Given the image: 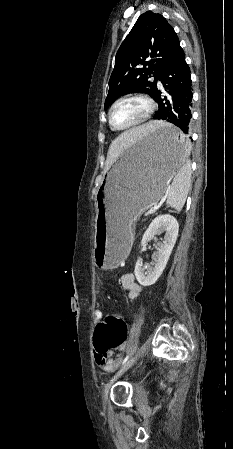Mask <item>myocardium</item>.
<instances>
[{"mask_svg": "<svg viewBox=\"0 0 233 449\" xmlns=\"http://www.w3.org/2000/svg\"><path fill=\"white\" fill-rule=\"evenodd\" d=\"M127 99H139V100L143 101L147 107L146 113L140 120H138L135 123H132V124L124 126V127L115 126L112 122L113 109L115 108V106L118 103H120L121 101L127 100ZM154 109H155L154 101L148 95L143 94V93H138V92L128 93L123 96H120L111 104L109 111H108V123H109L110 127L116 131L130 130V129L136 128V127L146 123L150 119L151 115L153 114Z\"/></svg>", "mask_w": 233, "mask_h": 449, "instance_id": "f54148a6", "label": "myocardium"}]
</instances>
